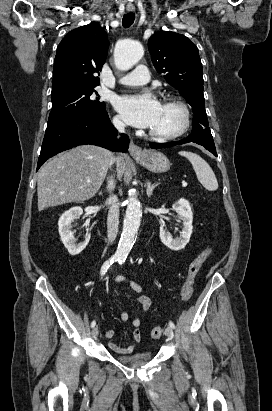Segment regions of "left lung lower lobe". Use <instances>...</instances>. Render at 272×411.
Masks as SVG:
<instances>
[{
    "mask_svg": "<svg viewBox=\"0 0 272 411\" xmlns=\"http://www.w3.org/2000/svg\"><path fill=\"white\" fill-rule=\"evenodd\" d=\"M194 142L199 145H202L204 148L209 150L213 155L217 156L216 148L214 145L213 137L210 131H202V132H195L190 134L188 137L177 141V142H169V143H149L150 147L153 149H160L171 147L175 145H181L184 143Z\"/></svg>",
    "mask_w": 272,
    "mask_h": 411,
    "instance_id": "1",
    "label": "left lung lower lobe"
}]
</instances>
